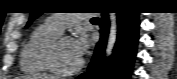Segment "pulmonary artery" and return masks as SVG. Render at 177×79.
<instances>
[{"label": "pulmonary artery", "instance_id": "1", "mask_svg": "<svg viewBox=\"0 0 177 79\" xmlns=\"http://www.w3.org/2000/svg\"><path fill=\"white\" fill-rule=\"evenodd\" d=\"M86 17H90V15L85 13L53 14L46 20V22L61 33L66 27L79 22Z\"/></svg>", "mask_w": 177, "mask_h": 79}]
</instances>
